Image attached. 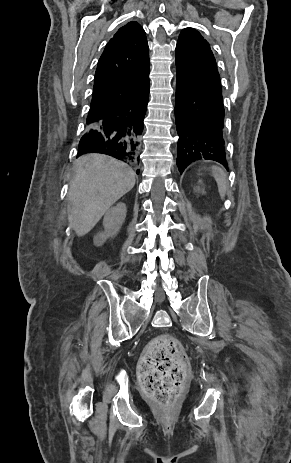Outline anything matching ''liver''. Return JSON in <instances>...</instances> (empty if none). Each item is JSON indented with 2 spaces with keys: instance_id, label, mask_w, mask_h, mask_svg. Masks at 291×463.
Returning <instances> with one entry per match:
<instances>
[{
  "instance_id": "liver-1",
  "label": "liver",
  "mask_w": 291,
  "mask_h": 463,
  "mask_svg": "<svg viewBox=\"0 0 291 463\" xmlns=\"http://www.w3.org/2000/svg\"><path fill=\"white\" fill-rule=\"evenodd\" d=\"M68 198V221L77 236L90 232L109 208L135 185V173L125 163L91 153L78 158Z\"/></svg>"
}]
</instances>
